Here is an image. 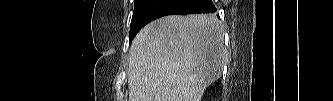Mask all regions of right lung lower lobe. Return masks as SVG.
<instances>
[{
    "mask_svg": "<svg viewBox=\"0 0 333 101\" xmlns=\"http://www.w3.org/2000/svg\"><path fill=\"white\" fill-rule=\"evenodd\" d=\"M211 0H144L131 21V41L149 22L173 14L214 13Z\"/></svg>",
    "mask_w": 333,
    "mask_h": 101,
    "instance_id": "1",
    "label": "right lung lower lobe"
}]
</instances>
